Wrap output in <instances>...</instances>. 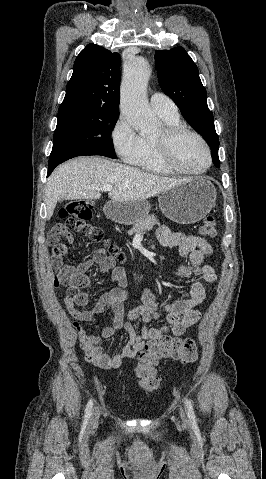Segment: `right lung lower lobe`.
<instances>
[{
    "mask_svg": "<svg viewBox=\"0 0 266 479\" xmlns=\"http://www.w3.org/2000/svg\"><path fill=\"white\" fill-rule=\"evenodd\" d=\"M79 155L71 153V152H66V151H55L51 152L50 154V159H49V166H48V174L49 176L51 172L54 170V168L61 164L62 162L71 159L73 157H77Z\"/></svg>",
    "mask_w": 266,
    "mask_h": 479,
    "instance_id": "obj_1",
    "label": "right lung lower lobe"
}]
</instances>
